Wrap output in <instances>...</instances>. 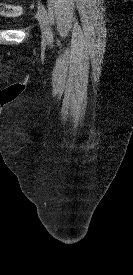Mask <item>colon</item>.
<instances>
[{
  "instance_id": "1",
  "label": "colon",
  "mask_w": 133,
  "mask_h": 275,
  "mask_svg": "<svg viewBox=\"0 0 133 275\" xmlns=\"http://www.w3.org/2000/svg\"><path fill=\"white\" fill-rule=\"evenodd\" d=\"M22 13V8L13 4H0V15L18 16Z\"/></svg>"
}]
</instances>
